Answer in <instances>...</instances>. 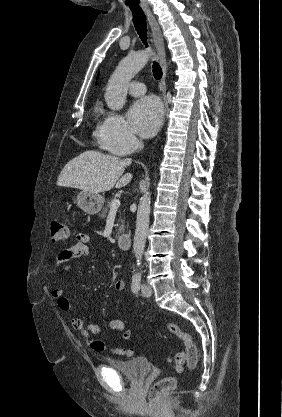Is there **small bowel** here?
<instances>
[{"label":"small bowel","instance_id":"small-bowel-1","mask_svg":"<svg viewBox=\"0 0 282 417\" xmlns=\"http://www.w3.org/2000/svg\"><path fill=\"white\" fill-rule=\"evenodd\" d=\"M76 242L71 247L63 250L57 258L56 269L62 271H68L72 264L71 260L82 258L89 252L90 237L85 232H78L75 236ZM113 289L117 292H121L125 289V282L117 280L113 283ZM52 298L56 301L58 308L62 311H69L71 304L66 297L62 288H54L51 292ZM72 327L79 334L82 340L89 346V348L96 352L101 353L109 350L112 344L104 340L95 339L93 335L101 332V327L98 324H85L79 317H74L71 320ZM109 327L114 332L121 333L122 340H128L131 337V330L125 329L124 323L120 319H113L109 322Z\"/></svg>","mask_w":282,"mask_h":417}]
</instances>
